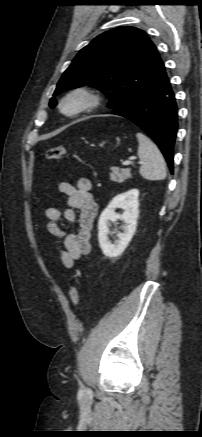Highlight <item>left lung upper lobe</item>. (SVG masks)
Here are the masks:
<instances>
[{
  "mask_svg": "<svg viewBox=\"0 0 202 437\" xmlns=\"http://www.w3.org/2000/svg\"><path fill=\"white\" fill-rule=\"evenodd\" d=\"M164 69L147 34L135 27H118L93 39L80 50L59 80L54 96L89 85L104 92L114 109L153 81ZM57 104L50 100V107Z\"/></svg>",
  "mask_w": 202,
  "mask_h": 437,
  "instance_id": "5c2ea615",
  "label": "left lung upper lobe"
}]
</instances>
